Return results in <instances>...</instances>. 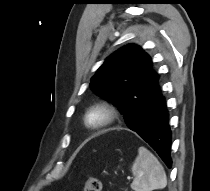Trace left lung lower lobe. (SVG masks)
<instances>
[{
  "label": "left lung lower lobe",
  "mask_w": 210,
  "mask_h": 191,
  "mask_svg": "<svg viewBox=\"0 0 210 191\" xmlns=\"http://www.w3.org/2000/svg\"><path fill=\"white\" fill-rule=\"evenodd\" d=\"M128 118L126 124L145 140L161 157L168 168L172 167L171 137L169 115L166 101L157 82L152 86L149 95L138 103L132 120Z\"/></svg>",
  "instance_id": "1"
}]
</instances>
